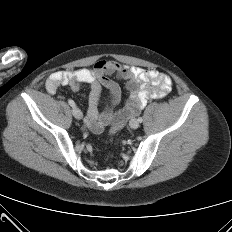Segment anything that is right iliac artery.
Listing matches in <instances>:
<instances>
[{
	"mask_svg": "<svg viewBox=\"0 0 232 232\" xmlns=\"http://www.w3.org/2000/svg\"><path fill=\"white\" fill-rule=\"evenodd\" d=\"M68 103L70 106L74 107L75 106V102L71 99L68 100Z\"/></svg>",
	"mask_w": 232,
	"mask_h": 232,
	"instance_id": "1",
	"label": "right iliac artery"
}]
</instances>
